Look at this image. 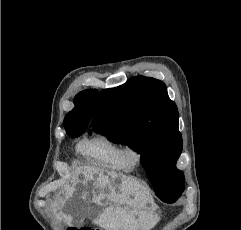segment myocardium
Returning <instances> with one entry per match:
<instances>
[{"label":"myocardium","mask_w":241,"mask_h":230,"mask_svg":"<svg viewBox=\"0 0 241 230\" xmlns=\"http://www.w3.org/2000/svg\"><path fill=\"white\" fill-rule=\"evenodd\" d=\"M143 158L144 152L138 144L128 142L122 146V159L130 169L138 167Z\"/></svg>","instance_id":"myocardium-1"}]
</instances>
